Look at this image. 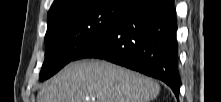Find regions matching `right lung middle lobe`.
I'll use <instances>...</instances> for the list:
<instances>
[{"mask_svg": "<svg viewBox=\"0 0 221 102\" xmlns=\"http://www.w3.org/2000/svg\"><path fill=\"white\" fill-rule=\"evenodd\" d=\"M130 0H84L48 18L45 61L40 80L48 79L133 8Z\"/></svg>", "mask_w": 221, "mask_h": 102, "instance_id": "right-lung-middle-lobe-1", "label": "right lung middle lobe"}]
</instances>
